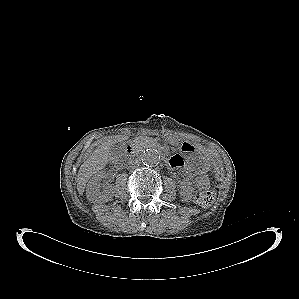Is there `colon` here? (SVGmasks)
Returning a JSON list of instances; mask_svg holds the SVG:
<instances>
[{"label": "colon", "mask_w": 299, "mask_h": 299, "mask_svg": "<svg viewBox=\"0 0 299 299\" xmlns=\"http://www.w3.org/2000/svg\"><path fill=\"white\" fill-rule=\"evenodd\" d=\"M196 183L201 189L194 195V202L201 207H209L214 202V192L209 188V178L205 174H200L196 178Z\"/></svg>", "instance_id": "obj_1"}]
</instances>
